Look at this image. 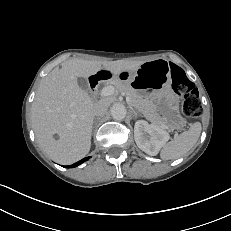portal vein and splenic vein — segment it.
I'll list each match as a JSON object with an SVG mask.
<instances>
[{"label": "portal vein and splenic vein", "instance_id": "1", "mask_svg": "<svg viewBox=\"0 0 231 231\" xmlns=\"http://www.w3.org/2000/svg\"><path fill=\"white\" fill-rule=\"evenodd\" d=\"M115 88L113 86H106L104 87L101 92H100V95L105 97V96H110V95H113L115 93ZM126 101L128 103H130L131 99L127 96L126 97Z\"/></svg>", "mask_w": 231, "mask_h": 231}]
</instances>
